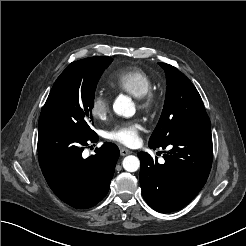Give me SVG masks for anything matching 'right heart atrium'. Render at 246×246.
Listing matches in <instances>:
<instances>
[{
    "label": "right heart atrium",
    "mask_w": 246,
    "mask_h": 246,
    "mask_svg": "<svg viewBox=\"0 0 246 246\" xmlns=\"http://www.w3.org/2000/svg\"><path fill=\"white\" fill-rule=\"evenodd\" d=\"M110 109V99L106 94L98 92L93 96L90 104V113L95 119H106L110 113Z\"/></svg>",
    "instance_id": "1"
}]
</instances>
